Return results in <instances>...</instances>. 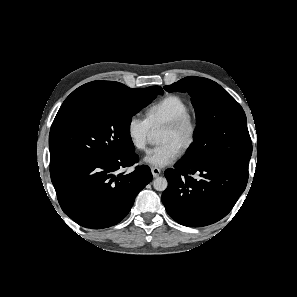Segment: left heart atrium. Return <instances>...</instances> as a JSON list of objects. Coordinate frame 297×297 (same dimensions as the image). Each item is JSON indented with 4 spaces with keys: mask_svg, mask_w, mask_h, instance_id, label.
Segmentation results:
<instances>
[{
    "mask_svg": "<svg viewBox=\"0 0 297 297\" xmlns=\"http://www.w3.org/2000/svg\"><path fill=\"white\" fill-rule=\"evenodd\" d=\"M180 149L171 143H162L152 149L144 158V162L155 168H162L173 163L179 156Z\"/></svg>",
    "mask_w": 297,
    "mask_h": 297,
    "instance_id": "1",
    "label": "left heart atrium"
}]
</instances>
